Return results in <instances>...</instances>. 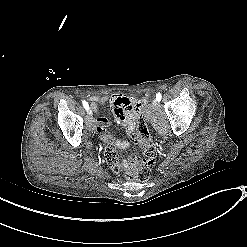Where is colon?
<instances>
[{"label": "colon", "instance_id": "5ec220e1", "mask_svg": "<svg viewBox=\"0 0 247 247\" xmlns=\"http://www.w3.org/2000/svg\"><path fill=\"white\" fill-rule=\"evenodd\" d=\"M136 138L138 141L137 154L125 160L126 169L123 176L128 180L135 179L145 182L151 178V168L157 161L159 150L143 117L137 123Z\"/></svg>", "mask_w": 247, "mask_h": 247}]
</instances>
